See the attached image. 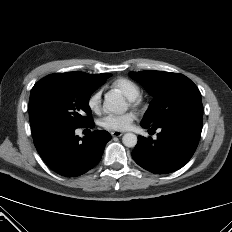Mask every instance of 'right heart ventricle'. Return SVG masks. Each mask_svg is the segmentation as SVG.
Segmentation results:
<instances>
[{
  "mask_svg": "<svg viewBox=\"0 0 232 232\" xmlns=\"http://www.w3.org/2000/svg\"><path fill=\"white\" fill-rule=\"evenodd\" d=\"M111 88L119 90L127 99L139 97L141 94L140 86L135 81L125 77L114 80Z\"/></svg>",
  "mask_w": 232,
  "mask_h": 232,
  "instance_id": "obj_1",
  "label": "right heart ventricle"
}]
</instances>
